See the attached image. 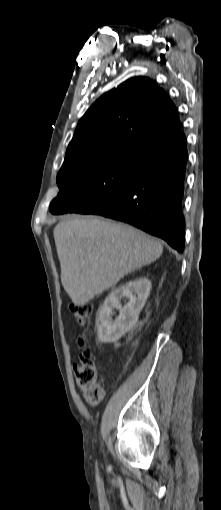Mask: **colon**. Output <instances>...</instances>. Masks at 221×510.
Segmentation results:
<instances>
[{"label":"colon","mask_w":221,"mask_h":510,"mask_svg":"<svg viewBox=\"0 0 221 510\" xmlns=\"http://www.w3.org/2000/svg\"><path fill=\"white\" fill-rule=\"evenodd\" d=\"M70 310L78 324H85L92 313V306L88 303H71ZM79 365L76 373L77 383L84 390V399L89 406H97L103 399V391L97 385V369L92 355L83 336L78 338Z\"/></svg>","instance_id":"obj_1"}]
</instances>
